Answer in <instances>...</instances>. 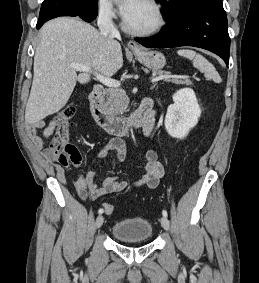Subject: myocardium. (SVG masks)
I'll list each match as a JSON object with an SVG mask.
<instances>
[{
  "instance_id": "f54148a6",
  "label": "myocardium",
  "mask_w": 259,
  "mask_h": 283,
  "mask_svg": "<svg viewBox=\"0 0 259 283\" xmlns=\"http://www.w3.org/2000/svg\"><path fill=\"white\" fill-rule=\"evenodd\" d=\"M144 1L148 3L149 5H151L153 9L155 10L157 14V23L152 28L145 29V30H136V29L131 28L127 24L125 18H123L122 28L126 33L130 35L137 36V37L152 36V35L159 33L166 24L165 14H164L161 4L157 0H144Z\"/></svg>"
}]
</instances>
